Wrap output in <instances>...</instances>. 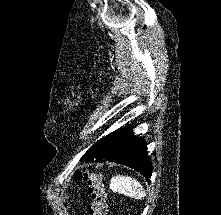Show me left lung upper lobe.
Segmentation results:
<instances>
[{"instance_id": "1", "label": "left lung upper lobe", "mask_w": 221, "mask_h": 215, "mask_svg": "<svg viewBox=\"0 0 221 215\" xmlns=\"http://www.w3.org/2000/svg\"><path fill=\"white\" fill-rule=\"evenodd\" d=\"M112 134V133H111ZM111 134L97 141L81 158L83 162H91L105 153Z\"/></svg>"}]
</instances>
